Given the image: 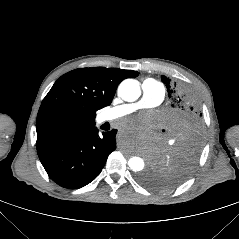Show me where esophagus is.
<instances>
[{"mask_svg": "<svg viewBox=\"0 0 239 239\" xmlns=\"http://www.w3.org/2000/svg\"><path fill=\"white\" fill-rule=\"evenodd\" d=\"M115 139H116L117 141H122V140L124 139V134H123L122 132H117V133L115 134Z\"/></svg>", "mask_w": 239, "mask_h": 239, "instance_id": "esophagus-1", "label": "esophagus"}]
</instances>
